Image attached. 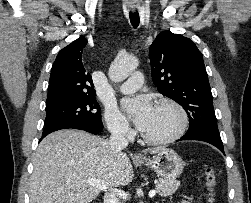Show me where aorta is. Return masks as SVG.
<instances>
[{
  "label": "aorta",
  "instance_id": "aorta-1",
  "mask_svg": "<svg viewBox=\"0 0 251 203\" xmlns=\"http://www.w3.org/2000/svg\"><path fill=\"white\" fill-rule=\"evenodd\" d=\"M139 65V62L134 57L124 59L116 58L109 68V78L113 82H121L125 80Z\"/></svg>",
  "mask_w": 251,
  "mask_h": 203
}]
</instances>
